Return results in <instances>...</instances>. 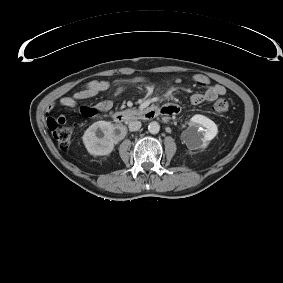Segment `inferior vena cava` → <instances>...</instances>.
<instances>
[{"label": "inferior vena cava", "mask_w": 283, "mask_h": 283, "mask_svg": "<svg viewBox=\"0 0 283 283\" xmlns=\"http://www.w3.org/2000/svg\"><path fill=\"white\" fill-rule=\"evenodd\" d=\"M142 124L140 121H131L128 125L130 131H137L141 128Z\"/></svg>", "instance_id": "obj_1"}]
</instances>
